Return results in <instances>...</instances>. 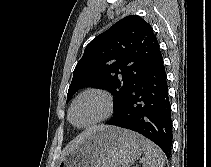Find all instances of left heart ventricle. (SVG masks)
Returning <instances> with one entry per match:
<instances>
[{"instance_id":"1","label":"left heart ventricle","mask_w":211,"mask_h":167,"mask_svg":"<svg viewBox=\"0 0 211 167\" xmlns=\"http://www.w3.org/2000/svg\"><path fill=\"white\" fill-rule=\"evenodd\" d=\"M104 111L105 103L102 97L90 94L76 103L72 111V120L77 125H85L100 117Z\"/></svg>"}]
</instances>
